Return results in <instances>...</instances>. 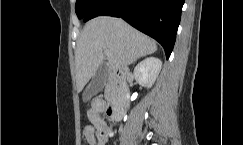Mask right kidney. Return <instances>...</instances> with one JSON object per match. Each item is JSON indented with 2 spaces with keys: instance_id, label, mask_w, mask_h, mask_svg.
<instances>
[{
  "instance_id": "obj_1",
  "label": "right kidney",
  "mask_w": 243,
  "mask_h": 145,
  "mask_svg": "<svg viewBox=\"0 0 243 145\" xmlns=\"http://www.w3.org/2000/svg\"><path fill=\"white\" fill-rule=\"evenodd\" d=\"M162 62L156 57H149L141 61L134 69L135 80L144 87L150 88L156 81Z\"/></svg>"
}]
</instances>
